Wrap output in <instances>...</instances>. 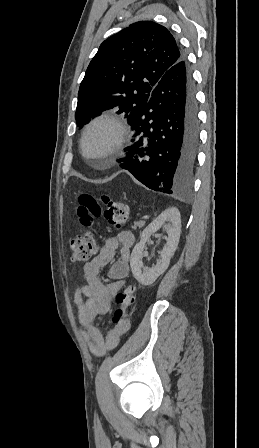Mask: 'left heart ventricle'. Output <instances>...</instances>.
I'll return each mask as SVG.
<instances>
[{
	"label": "left heart ventricle",
	"instance_id": "b2bd125f",
	"mask_svg": "<svg viewBox=\"0 0 259 448\" xmlns=\"http://www.w3.org/2000/svg\"><path fill=\"white\" fill-rule=\"evenodd\" d=\"M112 136L108 126H96L89 132L85 140V155L87 161H103V149Z\"/></svg>",
	"mask_w": 259,
	"mask_h": 448
}]
</instances>
